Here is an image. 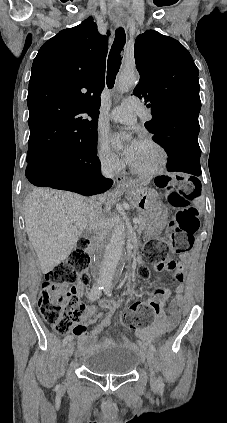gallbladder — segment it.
I'll list each match as a JSON object with an SVG mask.
<instances>
[{"mask_svg":"<svg viewBox=\"0 0 227 423\" xmlns=\"http://www.w3.org/2000/svg\"><path fill=\"white\" fill-rule=\"evenodd\" d=\"M81 237H85V239H91L92 237V231L91 229H84L81 233Z\"/></svg>","mask_w":227,"mask_h":423,"instance_id":"1","label":"gallbladder"}]
</instances>
